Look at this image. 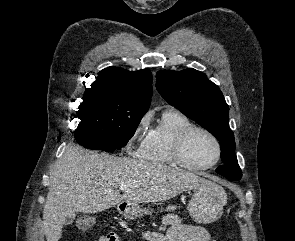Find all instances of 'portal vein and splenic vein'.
<instances>
[{
  "mask_svg": "<svg viewBox=\"0 0 295 241\" xmlns=\"http://www.w3.org/2000/svg\"><path fill=\"white\" fill-rule=\"evenodd\" d=\"M128 187H129L128 184H121V185L119 186L120 190H126Z\"/></svg>",
  "mask_w": 295,
  "mask_h": 241,
  "instance_id": "1",
  "label": "portal vein and splenic vein"
}]
</instances>
